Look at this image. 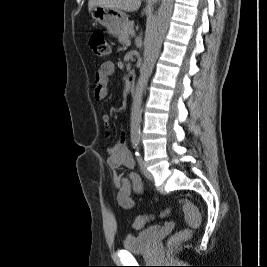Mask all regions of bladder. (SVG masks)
Here are the masks:
<instances>
[{
    "mask_svg": "<svg viewBox=\"0 0 267 267\" xmlns=\"http://www.w3.org/2000/svg\"><path fill=\"white\" fill-rule=\"evenodd\" d=\"M160 226L154 225L139 231L136 234H128L123 241V248L132 253H143L150 249L155 241Z\"/></svg>",
    "mask_w": 267,
    "mask_h": 267,
    "instance_id": "bladder-1",
    "label": "bladder"
}]
</instances>
